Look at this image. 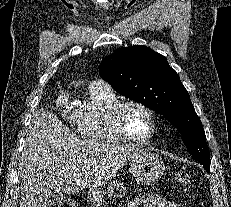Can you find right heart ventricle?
I'll use <instances>...</instances> for the list:
<instances>
[{"label":"right heart ventricle","mask_w":231,"mask_h":207,"mask_svg":"<svg viewBox=\"0 0 231 207\" xmlns=\"http://www.w3.org/2000/svg\"><path fill=\"white\" fill-rule=\"evenodd\" d=\"M120 98L107 84L91 85L88 102L74 114V127L81 137L96 142H122L121 135L112 120V112Z\"/></svg>","instance_id":"e07e8e85"}]
</instances>
